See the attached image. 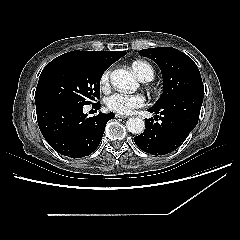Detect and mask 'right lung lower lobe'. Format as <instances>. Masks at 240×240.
Instances as JSON below:
<instances>
[{
  "label": "right lung lower lobe",
  "instance_id": "right-lung-lower-lobe-1",
  "mask_svg": "<svg viewBox=\"0 0 240 240\" xmlns=\"http://www.w3.org/2000/svg\"><path fill=\"white\" fill-rule=\"evenodd\" d=\"M82 104L68 99H51L36 104L40 131L58 153L71 158L90 155L100 144L107 122L114 113L87 117ZM99 109L100 103L92 105Z\"/></svg>",
  "mask_w": 240,
  "mask_h": 240
}]
</instances>
